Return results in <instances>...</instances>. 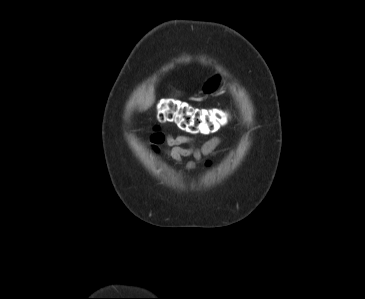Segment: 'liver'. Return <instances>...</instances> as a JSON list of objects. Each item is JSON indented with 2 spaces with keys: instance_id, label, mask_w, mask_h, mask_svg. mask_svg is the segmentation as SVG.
Returning a JSON list of instances; mask_svg holds the SVG:
<instances>
[{
  "instance_id": "obj_1",
  "label": "liver",
  "mask_w": 365,
  "mask_h": 299,
  "mask_svg": "<svg viewBox=\"0 0 365 299\" xmlns=\"http://www.w3.org/2000/svg\"><path fill=\"white\" fill-rule=\"evenodd\" d=\"M154 102V96L152 93L148 94L145 96V99H144V102H143V105H144V108L147 109L148 107H150Z\"/></svg>"
}]
</instances>
